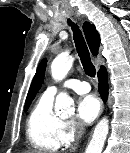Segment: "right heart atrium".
Returning a JSON list of instances; mask_svg holds the SVG:
<instances>
[{
    "mask_svg": "<svg viewBox=\"0 0 130 153\" xmlns=\"http://www.w3.org/2000/svg\"><path fill=\"white\" fill-rule=\"evenodd\" d=\"M81 130V126L74 120L63 121L61 129L62 143H69L76 138Z\"/></svg>",
    "mask_w": 130,
    "mask_h": 153,
    "instance_id": "d8ad5b80",
    "label": "right heart atrium"
}]
</instances>
